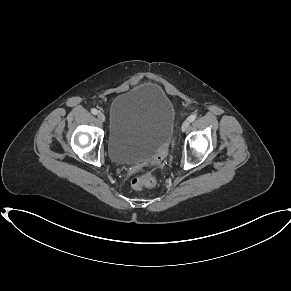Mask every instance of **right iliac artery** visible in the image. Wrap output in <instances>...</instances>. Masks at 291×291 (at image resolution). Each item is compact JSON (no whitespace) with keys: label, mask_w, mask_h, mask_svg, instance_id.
I'll return each instance as SVG.
<instances>
[{"label":"right iliac artery","mask_w":291,"mask_h":291,"mask_svg":"<svg viewBox=\"0 0 291 291\" xmlns=\"http://www.w3.org/2000/svg\"><path fill=\"white\" fill-rule=\"evenodd\" d=\"M91 112H92V114L96 115V114L98 113V110L95 109V108H93V109L91 110Z\"/></svg>","instance_id":"82829eb1"}]
</instances>
